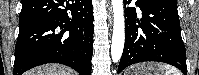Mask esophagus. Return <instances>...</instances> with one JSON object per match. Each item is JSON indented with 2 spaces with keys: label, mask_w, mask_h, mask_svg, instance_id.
I'll use <instances>...</instances> for the list:
<instances>
[{
  "label": "esophagus",
  "mask_w": 199,
  "mask_h": 75,
  "mask_svg": "<svg viewBox=\"0 0 199 75\" xmlns=\"http://www.w3.org/2000/svg\"><path fill=\"white\" fill-rule=\"evenodd\" d=\"M110 3V2H109ZM109 13H110V17H109V21L110 23L112 22V9L111 7L109 6Z\"/></svg>",
  "instance_id": "1"
}]
</instances>
